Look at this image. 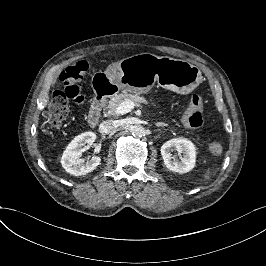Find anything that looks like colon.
<instances>
[{
	"instance_id": "colon-1",
	"label": "colon",
	"mask_w": 266,
	"mask_h": 266,
	"mask_svg": "<svg viewBox=\"0 0 266 266\" xmlns=\"http://www.w3.org/2000/svg\"><path fill=\"white\" fill-rule=\"evenodd\" d=\"M89 70V63L85 59H77L72 65L63 69L60 80L64 83L63 90L52 93L51 104L46 114L43 129L46 134L58 131L69 113V102L81 103L84 100L83 92L84 75ZM201 98L193 95L191 104L193 107L200 105ZM185 125L193 129H201L204 126V116L199 110H195L185 118ZM209 151L213 155H220L222 146L220 143L209 144Z\"/></svg>"
}]
</instances>
